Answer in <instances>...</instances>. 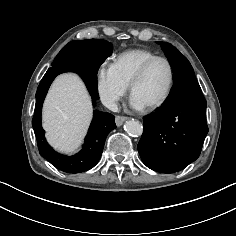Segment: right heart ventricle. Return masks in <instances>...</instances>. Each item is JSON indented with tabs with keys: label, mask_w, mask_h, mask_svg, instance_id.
Listing matches in <instances>:
<instances>
[{
	"label": "right heart ventricle",
	"mask_w": 236,
	"mask_h": 236,
	"mask_svg": "<svg viewBox=\"0 0 236 236\" xmlns=\"http://www.w3.org/2000/svg\"><path fill=\"white\" fill-rule=\"evenodd\" d=\"M156 56L148 49H129L117 54L113 59L112 66L119 78L129 86L141 66Z\"/></svg>",
	"instance_id": "e07e8e85"
}]
</instances>
